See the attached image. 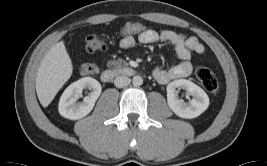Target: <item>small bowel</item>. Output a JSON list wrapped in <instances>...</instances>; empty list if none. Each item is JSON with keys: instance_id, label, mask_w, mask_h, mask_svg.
Segmentation results:
<instances>
[{"instance_id": "small-bowel-1", "label": "small bowel", "mask_w": 267, "mask_h": 166, "mask_svg": "<svg viewBox=\"0 0 267 166\" xmlns=\"http://www.w3.org/2000/svg\"><path fill=\"white\" fill-rule=\"evenodd\" d=\"M136 40L142 44L169 43L174 46L176 56L180 62L167 69L156 67L153 70L152 75L160 84H167L173 80L188 77L193 69L190 62L191 54L201 55L205 52L203 44L197 38L187 37L182 33L168 29H145L138 33H130L127 37H122L120 47L125 50L131 49Z\"/></svg>"}]
</instances>
